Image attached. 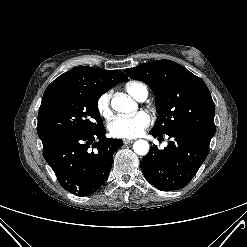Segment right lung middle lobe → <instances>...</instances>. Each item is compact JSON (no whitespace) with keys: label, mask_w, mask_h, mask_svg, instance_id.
<instances>
[{"label":"right lung middle lobe","mask_w":247,"mask_h":247,"mask_svg":"<svg viewBox=\"0 0 247 247\" xmlns=\"http://www.w3.org/2000/svg\"><path fill=\"white\" fill-rule=\"evenodd\" d=\"M105 92L94 86H79L43 99L37 125L41 141L65 134L89 133L103 127L97 103Z\"/></svg>","instance_id":"dd1d6c3e"}]
</instances>
